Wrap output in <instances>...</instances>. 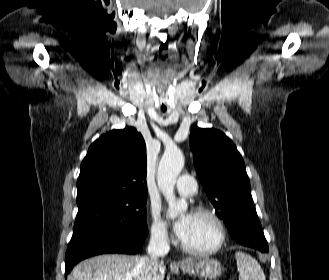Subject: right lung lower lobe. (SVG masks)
<instances>
[{"instance_id": "98d812e1", "label": "right lung lower lobe", "mask_w": 329, "mask_h": 280, "mask_svg": "<svg viewBox=\"0 0 329 280\" xmlns=\"http://www.w3.org/2000/svg\"><path fill=\"white\" fill-rule=\"evenodd\" d=\"M144 239L128 240L107 233L93 234L68 245L65 258V277L79 261L104 253H138Z\"/></svg>"}]
</instances>
